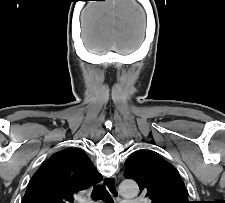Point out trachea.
<instances>
[{"label":"trachea","instance_id":"3493384b","mask_svg":"<svg viewBox=\"0 0 225 203\" xmlns=\"http://www.w3.org/2000/svg\"><path fill=\"white\" fill-rule=\"evenodd\" d=\"M91 196L95 200L101 199L104 203L113 202L109 192L103 186H94Z\"/></svg>","mask_w":225,"mask_h":203}]
</instances>
